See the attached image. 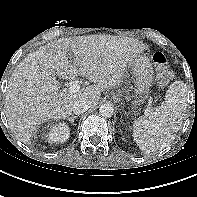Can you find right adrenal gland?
I'll return each instance as SVG.
<instances>
[{"instance_id":"2a0ac1e0","label":"right adrenal gland","mask_w":197,"mask_h":197,"mask_svg":"<svg viewBox=\"0 0 197 197\" xmlns=\"http://www.w3.org/2000/svg\"><path fill=\"white\" fill-rule=\"evenodd\" d=\"M76 118H77V116H71V117L68 118V120H69L71 123H73V122H74V119H76Z\"/></svg>"}]
</instances>
